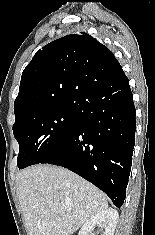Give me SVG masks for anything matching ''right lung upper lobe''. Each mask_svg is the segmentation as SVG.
I'll list each match as a JSON object with an SVG mask.
<instances>
[{"label": "right lung upper lobe", "mask_w": 155, "mask_h": 235, "mask_svg": "<svg viewBox=\"0 0 155 235\" xmlns=\"http://www.w3.org/2000/svg\"><path fill=\"white\" fill-rule=\"evenodd\" d=\"M120 73L114 54L88 34L59 38L38 50L24 69L14 102L15 118L45 106L78 107L95 86Z\"/></svg>", "instance_id": "obj_1"}]
</instances>
